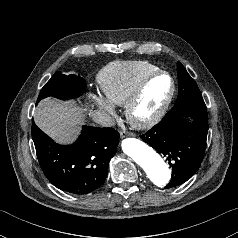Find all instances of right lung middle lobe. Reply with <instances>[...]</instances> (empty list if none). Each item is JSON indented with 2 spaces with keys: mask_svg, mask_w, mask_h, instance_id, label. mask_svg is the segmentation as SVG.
Returning a JSON list of instances; mask_svg holds the SVG:
<instances>
[{
  "mask_svg": "<svg viewBox=\"0 0 238 238\" xmlns=\"http://www.w3.org/2000/svg\"><path fill=\"white\" fill-rule=\"evenodd\" d=\"M86 91L83 78L76 75L66 76L61 72L55 73L42 88L37 102L49 96L67 100L81 96Z\"/></svg>",
  "mask_w": 238,
  "mask_h": 238,
  "instance_id": "right-lung-middle-lobe-1",
  "label": "right lung middle lobe"
}]
</instances>
